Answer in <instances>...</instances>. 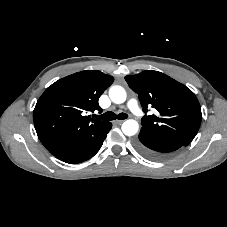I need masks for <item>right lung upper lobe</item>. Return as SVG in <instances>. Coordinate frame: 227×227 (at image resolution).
Returning a JSON list of instances; mask_svg holds the SVG:
<instances>
[{
	"mask_svg": "<svg viewBox=\"0 0 227 227\" xmlns=\"http://www.w3.org/2000/svg\"><path fill=\"white\" fill-rule=\"evenodd\" d=\"M114 78L98 70H85L64 77L41 95L33 112L37 135L53 155L78 146L109 122L96 121L87 112L102 111L99 97Z\"/></svg>",
	"mask_w": 227,
	"mask_h": 227,
	"instance_id": "obj_1",
	"label": "right lung upper lobe"
}]
</instances>
